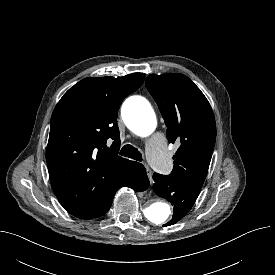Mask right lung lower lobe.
<instances>
[{"mask_svg":"<svg viewBox=\"0 0 275 275\" xmlns=\"http://www.w3.org/2000/svg\"><path fill=\"white\" fill-rule=\"evenodd\" d=\"M123 186L131 187L132 189H134L136 191H144V190H146L148 188L149 181H148V177L146 175V170H145V168H144V166L142 164L136 163V164L132 165L129 168V170L127 171V173L124 175V178L122 179V181H121V183L119 185V188L123 187ZM115 193H114V195H115ZM114 195L91 218H96V217L104 215L109 210V208H110V206L112 204V200H113ZM91 218H89V219H91Z\"/></svg>","mask_w":275,"mask_h":275,"instance_id":"1","label":"right lung lower lobe"}]
</instances>
